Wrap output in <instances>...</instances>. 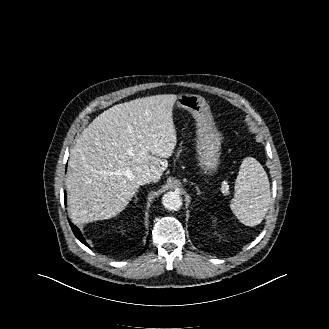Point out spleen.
Segmentation results:
<instances>
[{"instance_id":"spleen-1","label":"spleen","mask_w":329,"mask_h":329,"mask_svg":"<svg viewBox=\"0 0 329 329\" xmlns=\"http://www.w3.org/2000/svg\"><path fill=\"white\" fill-rule=\"evenodd\" d=\"M270 183L262 165L246 157L235 182V195L230 208L246 226H256L265 217L271 203Z\"/></svg>"}]
</instances>
